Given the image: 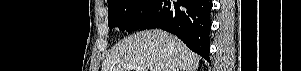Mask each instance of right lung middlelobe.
Here are the masks:
<instances>
[{
    "instance_id": "1",
    "label": "right lung middle lobe",
    "mask_w": 301,
    "mask_h": 71,
    "mask_svg": "<svg viewBox=\"0 0 301 71\" xmlns=\"http://www.w3.org/2000/svg\"><path fill=\"white\" fill-rule=\"evenodd\" d=\"M157 0L108 1V25L132 32L142 30Z\"/></svg>"
}]
</instances>
